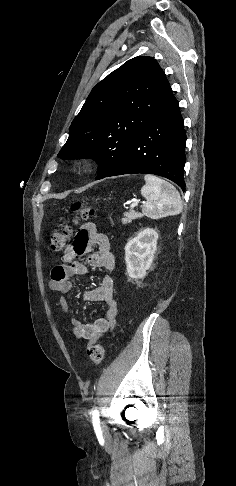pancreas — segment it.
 Here are the masks:
<instances>
[{"mask_svg":"<svg viewBox=\"0 0 236 486\" xmlns=\"http://www.w3.org/2000/svg\"><path fill=\"white\" fill-rule=\"evenodd\" d=\"M142 217V214L141 213H138V212H135L133 210L125 213V217L122 218V224H128V223H131L132 220H135L137 218H141Z\"/></svg>","mask_w":236,"mask_h":486,"instance_id":"1","label":"pancreas"}]
</instances>
